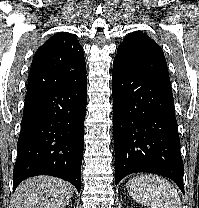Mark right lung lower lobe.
Listing matches in <instances>:
<instances>
[{
  "mask_svg": "<svg viewBox=\"0 0 199 208\" xmlns=\"http://www.w3.org/2000/svg\"><path fill=\"white\" fill-rule=\"evenodd\" d=\"M86 104L87 77L27 94L13 170L14 190L28 177L52 175L80 191Z\"/></svg>",
  "mask_w": 199,
  "mask_h": 208,
  "instance_id": "obj_1",
  "label": "right lung lower lobe"
}]
</instances>
